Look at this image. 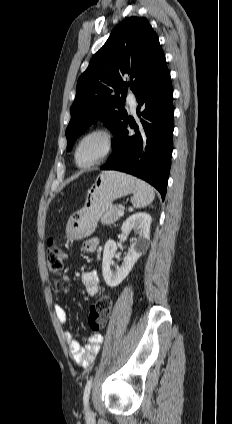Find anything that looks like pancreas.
Here are the masks:
<instances>
[{"instance_id": "1", "label": "pancreas", "mask_w": 232, "mask_h": 424, "mask_svg": "<svg viewBox=\"0 0 232 424\" xmlns=\"http://www.w3.org/2000/svg\"><path fill=\"white\" fill-rule=\"evenodd\" d=\"M120 210L117 206H111L107 210L103 212L101 215V223L104 225H110L116 222L120 216L118 215V211Z\"/></svg>"}]
</instances>
